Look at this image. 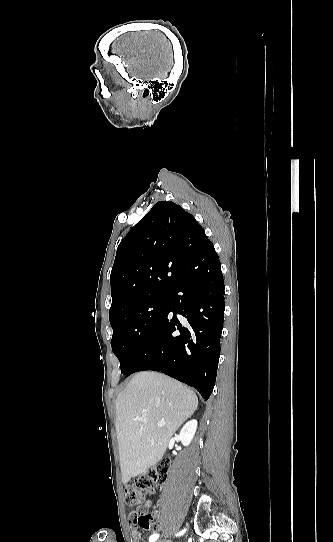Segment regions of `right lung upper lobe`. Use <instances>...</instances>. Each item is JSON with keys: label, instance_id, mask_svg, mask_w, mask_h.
Listing matches in <instances>:
<instances>
[{"label": "right lung upper lobe", "instance_id": "obj_1", "mask_svg": "<svg viewBox=\"0 0 333 542\" xmlns=\"http://www.w3.org/2000/svg\"><path fill=\"white\" fill-rule=\"evenodd\" d=\"M205 242L211 241L191 214L173 202L156 203L117 248L109 319L168 295L183 277L178 254Z\"/></svg>", "mask_w": 333, "mask_h": 542}]
</instances>
